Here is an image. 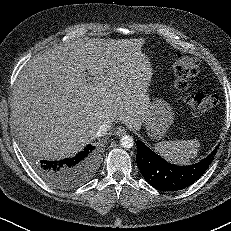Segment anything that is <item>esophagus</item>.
Listing matches in <instances>:
<instances>
[{
    "label": "esophagus",
    "instance_id": "obj_1",
    "mask_svg": "<svg viewBox=\"0 0 231 231\" xmlns=\"http://www.w3.org/2000/svg\"><path fill=\"white\" fill-rule=\"evenodd\" d=\"M114 132H115V134H116L117 136H122V135L126 134L127 130H126V128L123 127V126H118V127L115 129Z\"/></svg>",
    "mask_w": 231,
    "mask_h": 231
}]
</instances>
